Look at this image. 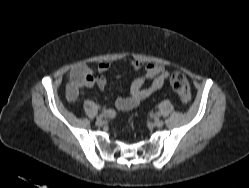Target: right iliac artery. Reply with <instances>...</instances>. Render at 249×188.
<instances>
[{
	"mask_svg": "<svg viewBox=\"0 0 249 188\" xmlns=\"http://www.w3.org/2000/svg\"><path fill=\"white\" fill-rule=\"evenodd\" d=\"M103 117H104V115L100 114L99 116H97V120L102 119Z\"/></svg>",
	"mask_w": 249,
	"mask_h": 188,
	"instance_id": "obj_1",
	"label": "right iliac artery"
}]
</instances>
